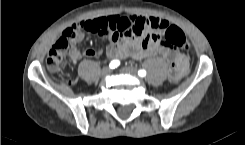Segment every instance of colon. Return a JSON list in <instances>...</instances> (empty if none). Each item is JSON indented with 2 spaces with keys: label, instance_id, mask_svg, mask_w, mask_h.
I'll list each match as a JSON object with an SVG mask.
<instances>
[{
  "label": "colon",
  "instance_id": "colon-1",
  "mask_svg": "<svg viewBox=\"0 0 245 145\" xmlns=\"http://www.w3.org/2000/svg\"><path fill=\"white\" fill-rule=\"evenodd\" d=\"M90 28L91 24L87 23L81 28H67L64 31L63 36L54 43L47 56L46 65L49 71L56 72L63 67L67 55L68 38L76 34L78 30L88 31ZM146 38L152 39L156 45H166L169 47L185 50L190 48V42L188 41L185 34L180 28L174 25L168 27L163 35H159L157 33L152 34L148 32L146 34ZM174 70L175 65L172 64L171 72H174Z\"/></svg>",
  "mask_w": 245,
  "mask_h": 145
}]
</instances>
